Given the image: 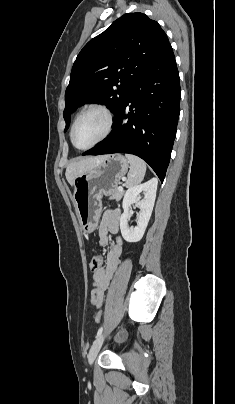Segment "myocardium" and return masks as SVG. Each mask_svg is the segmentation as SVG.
<instances>
[{
  "label": "myocardium",
  "instance_id": "obj_1",
  "mask_svg": "<svg viewBox=\"0 0 235 404\" xmlns=\"http://www.w3.org/2000/svg\"><path fill=\"white\" fill-rule=\"evenodd\" d=\"M89 112H100V113H102V114L105 116V118H106V127H105V130H104L103 134H102L95 142H93L92 144H90V145L87 146V147H78V146H76V144L74 143V138H73L74 130H75L76 124H77V122L79 121V119H80L83 115H85V114H87V113H89ZM113 124H114V116H113L112 111H111L107 106L101 105V104L91 105V106L85 108L84 110H82V111L76 116L75 120L73 121V124H72V126H71V130H70V140H71V143H72V145H73L76 149H78V150L84 151V150L91 149V148H93L94 146H96L97 144H99L100 142H102L103 140H105V139L110 135V133L112 132V129H113Z\"/></svg>",
  "mask_w": 235,
  "mask_h": 404
}]
</instances>
